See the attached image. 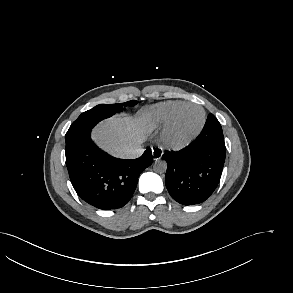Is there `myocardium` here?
Listing matches in <instances>:
<instances>
[{"instance_id": "1", "label": "myocardium", "mask_w": 293, "mask_h": 293, "mask_svg": "<svg viewBox=\"0 0 293 293\" xmlns=\"http://www.w3.org/2000/svg\"><path fill=\"white\" fill-rule=\"evenodd\" d=\"M192 106L197 107L201 110V112H202L201 123H200L199 127L197 128V130L189 138H187L184 141H176V140H174V138L172 136V132H173V128H174L176 119H177L179 113L184 108L192 107ZM206 120H207L206 111L204 110V108L201 105L196 104V103H192V102H185V103L181 104L179 107H177L174 110V112L172 113L168 122L166 123L164 129L162 130V133L160 136V142H161L162 146L166 149L173 150V151H179V150H182V149L188 147L201 134V132L206 124Z\"/></svg>"}]
</instances>
